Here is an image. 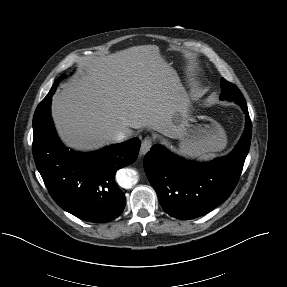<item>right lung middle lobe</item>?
Segmentation results:
<instances>
[{
    "label": "right lung middle lobe",
    "mask_w": 287,
    "mask_h": 287,
    "mask_svg": "<svg viewBox=\"0 0 287 287\" xmlns=\"http://www.w3.org/2000/svg\"><path fill=\"white\" fill-rule=\"evenodd\" d=\"M63 78H65L64 75L60 76V77L54 82V84H53L51 90H52V89H56L58 83H59Z\"/></svg>",
    "instance_id": "1"
}]
</instances>
